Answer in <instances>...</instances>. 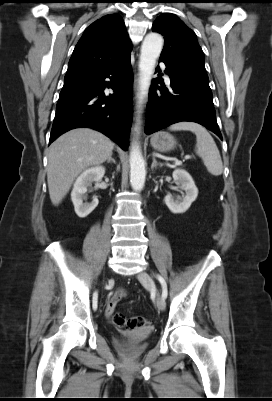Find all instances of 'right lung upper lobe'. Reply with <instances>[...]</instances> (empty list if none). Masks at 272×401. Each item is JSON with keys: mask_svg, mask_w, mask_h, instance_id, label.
<instances>
[{"mask_svg": "<svg viewBox=\"0 0 272 401\" xmlns=\"http://www.w3.org/2000/svg\"><path fill=\"white\" fill-rule=\"evenodd\" d=\"M131 53L122 17L106 15L86 28L69 60L64 87L97 76Z\"/></svg>", "mask_w": 272, "mask_h": 401, "instance_id": "obj_1", "label": "right lung upper lobe"}]
</instances>
